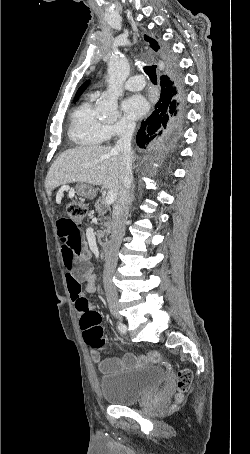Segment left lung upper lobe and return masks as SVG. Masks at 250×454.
Here are the masks:
<instances>
[{
  "label": "left lung upper lobe",
  "instance_id": "1",
  "mask_svg": "<svg viewBox=\"0 0 250 454\" xmlns=\"http://www.w3.org/2000/svg\"><path fill=\"white\" fill-rule=\"evenodd\" d=\"M89 84V81L85 82L77 91L76 95H75V99H74V102L78 99V97L82 94V92L84 91V89H86V87L88 86Z\"/></svg>",
  "mask_w": 250,
  "mask_h": 454
}]
</instances>
